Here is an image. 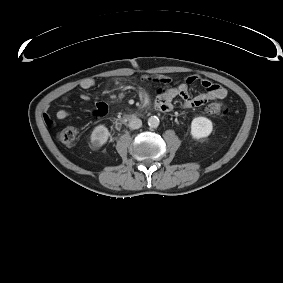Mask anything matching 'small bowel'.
Listing matches in <instances>:
<instances>
[{
    "label": "small bowel",
    "mask_w": 283,
    "mask_h": 283,
    "mask_svg": "<svg viewBox=\"0 0 283 283\" xmlns=\"http://www.w3.org/2000/svg\"><path fill=\"white\" fill-rule=\"evenodd\" d=\"M144 84H158L159 91L156 99V107L162 111H168L173 106L175 99H180L182 104L187 108L200 107L207 104L210 101L216 99H223L227 96V91L224 87L211 82L206 78H200L192 75L184 79L182 83L172 85V79L166 75L148 76L145 75L142 78ZM195 82H199L203 87L204 91L197 94L191 95L189 92V86ZM95 85V80L92 78H85L79 83V90L86 91ZM71 93H67L63 96L64 101L70 99ZM83 100H88L86 93H81ZM107 112V104L105 102H99L96 105L95 113L97 115H105ZM71 116V113L67 109H61L57 111L55 117L45 115L44 120L47 126L52 127L55 125V120H65Z\"/></svg>",
    "instance_id": "c3829d8e"
}]
</instances>
